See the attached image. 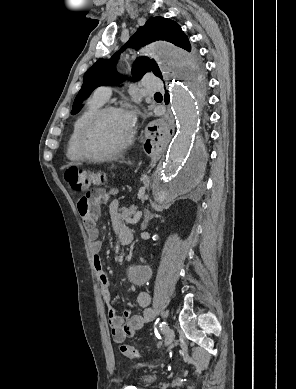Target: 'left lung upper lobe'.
<instances>
[{"label":"left lung upper lobe","instance_id":"5c2ea615","mask_svg":"<svg viewBox=\"0 0 296 389\" xmlns=\"http://www.w3.org/2000/svg\"><path fill=\"white\" fill-rule=\"evenodd\" d=\"M156 40L169 41L174 45L191 52L190 42L180 25L163 17H153L149 19L144 26H141L136 33L130 37L128 42L123 46L122 51L126 47L139 49ZM119 56L120 51L116 52L110 59H99L87 70L83 78L82 88L73 103L71 114H76L80 111V105L83 100L98 86L117 84L121 78L115 69V64ZM191 62V73L193 78L201 85H204V81L202 80L204 67L195 50H192ZM151 71L159 78H163L157 63L153 59H149L148 57L137 58L132 70L133 81L139 80L145 73Z\"/></svg>","mask_w":296,"mask_h":389}]
</instances>
